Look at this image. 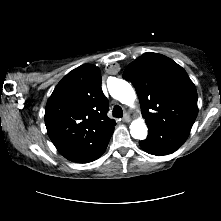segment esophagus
Segmentation results:
<instances>
[{
    "label": "esophagus",
    "mask_w": 221,
    "mask_h": 221,
    "mask_svg": "<svg viewBox=\"0 0 221 221\" xmlns=\"http://www.w3.org/2000/svg\"><path fill=\"white\" fill-rule=\"evenodd\" d=\"M123 121L124 122H130L131 121V118L128 114H125L124 117H123Z\"/></svg>",
    "instance_id": "1"
}]
</instances>
